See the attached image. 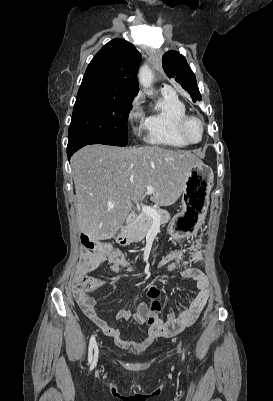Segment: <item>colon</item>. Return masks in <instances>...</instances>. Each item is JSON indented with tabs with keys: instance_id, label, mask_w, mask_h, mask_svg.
Here are the masks:
<instances>
[{
	"instance_id": "5ec220e1",
	"label": "colon",
	"mask_w": 273,
	"mask_h": 401,
	"mask_svg": "<svg viewBox=\"0 0 273 401\" xmlns=\"http://www.w3.org/2000/svg\"><path fill=\"white\" fill-rule=\"evenodd\" d=\"M84 254V253H83ZM89 257L95 255V252L89 250L87 252ZM93 263L91 261H82L80 263V267L77 269V278H72L70 280V285L72 287H80L73 288L72 295L73 297H92L95 293H99L101 287L99 284H92L89 276L92 274ZM159 289L157 286H152L148 290V295L152 298L157 299L159 297ZM162 312V305L159 301H155L152 305V308L148 312L147 323L149 325H154L159 318V315Z\"/></svg>"
}]
</instances>
